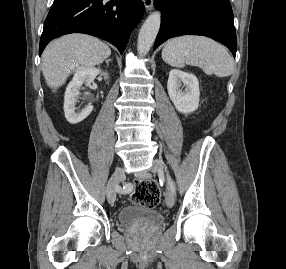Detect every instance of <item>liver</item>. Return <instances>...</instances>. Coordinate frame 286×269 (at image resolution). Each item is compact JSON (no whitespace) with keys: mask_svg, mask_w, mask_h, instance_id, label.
Segmentation results:
<instances>
[{"mask_svg":"<svg viewBox=\"0 0 286 269\" xmlns=\"http://www.w3.org/2000/svg\"><path fill=\"white\" fill-rule=\"evenodd\" d=\"M110 54V47L95 37L84 34L66 35L46 47L42 73L47 85L57 89L66 82L69 69L74 73L92 68L102 63Z\"/></svg>","mask_w":286,"mask_h":269,"instance_id":"6515ba94","label":"liver"}]
</instances>
